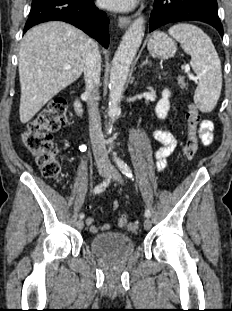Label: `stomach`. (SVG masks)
Masks as SVG:
<instances>
[{"mask_svg":"<svg viewBox=\"0 0 232 311\" xmlns=\"http://www.w3.org/2000/svg\"><path fill=\"white\" fill-rule=\"evenodd\" d=\"M147 48L153 56L161 59H169L177 51L176 43L162 31H155L151 34Z\"/></svg>","mask_w":232,"mask_h":311,"instance_id":"0dacf381","label":"stomach"}]
</instances>
